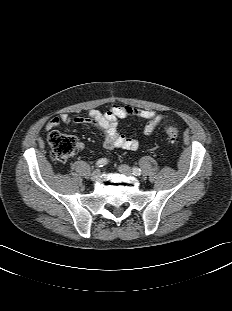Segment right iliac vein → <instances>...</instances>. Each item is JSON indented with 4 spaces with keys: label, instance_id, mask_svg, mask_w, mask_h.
<instances>
[{
    "label": "right iliac vein",
    "instance_id": "1",
    "mask_svg": "<svg viewBox=\"0 0 232 311\" xmlns=\"http://www.w3.org/2000/svg\"><path fill=\"white\" fill-rule=\"evenodd\" d=\"M100 177V170L96 169L95 171H93V173L91 174V180L92 181H97Z\"/></svg>",
    "mask_w": 232,
    "mask_h": 311
}]
</instances>
